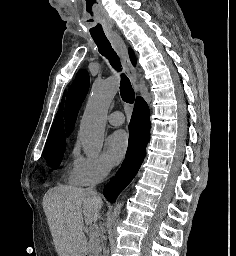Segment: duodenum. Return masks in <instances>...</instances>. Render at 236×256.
<instances>
[{
    "label": "duodenum",
    "mask_w": 236,
    "mask_h": 256,
    "mask_svg": "<svg viewBox=\"0 0 236 256\" xmlns=\"http://www.w3.org/2000/svg\"><path fill=\"white\" fill-rule=\"evenodd\" d=\"M84 256H88V252L86 250H84V253H83Z\"/></svg>",
    "instance_id": "1"
}]
</instances>
